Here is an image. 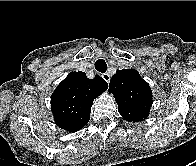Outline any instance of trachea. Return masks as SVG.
Masks as SVG:
<instances>
[{"label": "trachea", "mask_w": 196, "mask_h": 166, "mask_svg": "<svg viewBox=\"0 0 196 166\" xmlns=\"http://www.w3.org/2000/svg\"><path fill=\"white\" fill-rule=\"evenodd\" d=\"M95 68L97 71H99L101 73H105V71L107 70V64H106L105 60L98 59L95 63Z\"/></svg>", "instance_id": "3493384b"}]
</instances>
